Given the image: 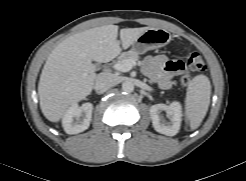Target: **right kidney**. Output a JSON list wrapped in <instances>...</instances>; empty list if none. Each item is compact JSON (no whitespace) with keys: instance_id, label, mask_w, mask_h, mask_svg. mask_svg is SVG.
I'll use <instances>...</instances> for the list:
<instances>
[{"instance_id":"1","label":"right kidney","mask_w":246,"mask_h":181,"mask_svg":"<svg viewBox=\"0 0 246 181\" xmlns=\"http://www.w3.org/2000/svg\"><path fill=\"white\" fill-rule=\"evenodd\" d=\"M93 105L77 103L69 107L62 119V125L67 134H78L88 129L92 118Z\"/></svg>"}]
</instances>
